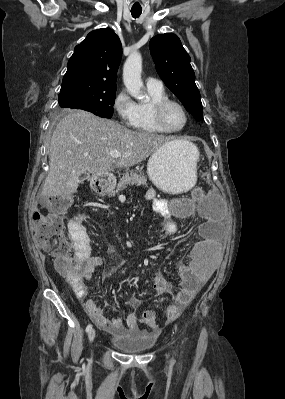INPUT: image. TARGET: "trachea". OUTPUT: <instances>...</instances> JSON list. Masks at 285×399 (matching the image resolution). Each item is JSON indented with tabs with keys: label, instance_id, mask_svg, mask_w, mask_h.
Returning a JSON list of instances; mask_svg holds the SVG:
<instances>
[{
	"label": "trachea",
	"instance_id": "3493384b",
	"mask_svg": "<svg viewBox=\"0 0 285 399\" xmlns=\"http://www.w3.org/2000/svg\"><path fill=\"white\" fill-rule=\"evenodd\" d=\"M141 13L142 10H134V9L131 10V14L134 18H138L141 15Z\"/></svg>",
	"mask_w": 285,
	"mask_h": 399
}]
</instances>
